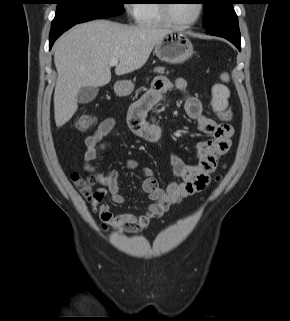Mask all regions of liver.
Here are the masks:
<instances>
[{"instance_id":"obj_1","label":"liver","mask_w":290,"mask_h":321,"mask_svg":"<svg viewBox=\"0 0 290 321\" xmlns=\"http://www.w3.org/2000/svg\"><path fill=\"white\" fill-rule=\"evenodd\" d=\"M169 32L149 25L94 20L64 33L54 47L58 73L54 91L56 126H63L77 111V94L82 87H101L110 82L111 59L119 61L116 75L133 72L146 63L154 46Z\"/></svg>"}]
</instances>
